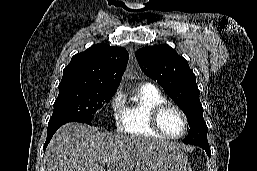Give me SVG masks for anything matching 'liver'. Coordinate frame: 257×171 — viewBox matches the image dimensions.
I'll return each mask as SVG.
<instances>
[{
  "instance_id": "6515ba94",
  "label": "liver",
  "mask_w": 257,
  "mask_h": 171,
  "mask_svg": "<svg viewBox=\"0 0 257 171\" xmlns=\"http://www.w3.org/2000/svg\"><path fill=\"white\" fill-rule=\"evenodd\" d=\"M177 147L136 136L112 134L83 123L59 128L46 151V171H133L142 155L153 148Z\"/></svg>"
}]
</instances>
